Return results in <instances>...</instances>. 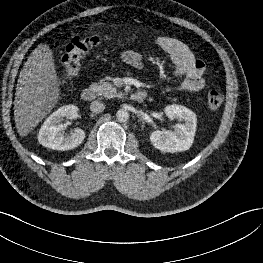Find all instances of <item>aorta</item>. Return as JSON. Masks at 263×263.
<instances>
[{"label":"aorta","instance_id":"762f6f07","mask_svg":"<svg viewBox=\"0 0 263 263\" xmlns=\"http://www.w3.org/2000/svg\"><path fill=\"white\" fill-rule=\"evenodd\" d=\"M116 118L119 122H126L129 119V113L124 109H119Z\"/></svg>","mask_w":263,"mask_h":263}]
</instances>
